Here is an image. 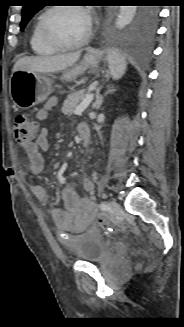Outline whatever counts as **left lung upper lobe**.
<instances>
[{
  "label": "left lung upper lobe",
  "mask_w": 184,
  "mask_h": 327,
  "mask_svg": "<svg viewBox=\"0 0 184 327\" xmlns=\"http://www.w3.org/2000/svg\"><path fill=\"white\" fill-rule=\"evenodd\" d=\"M43 8L41 0H27L23 6L21 30L24 29L29 20L36 14L40 9Z\"/></svg>",
  "instance_id": "5c2ea615"
}]
</instances>
